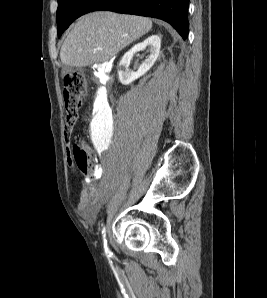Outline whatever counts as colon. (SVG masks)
I'll return each instance as SVG.
<instances>
[{
    "mask_svg": "<svg viewBox=\"0 0 267 298\" xmlns=\"http://www.w3.org/2000/svg\"><path fill=\"white\" fill-rule=\"evenodd\" d=\"M85 90L86 80L83 74L76 72L64 78L63 95L66 110L65 133L67 135L70 134L78 118ZM69 160L70 163L72 165L75 164L83 174L90 176L93 173V160L82 146L78 144L73 145Z\"/></svg>",
    "mask_w": 267,
    "mask_h": 298,
    "instance_id": "obj_1",
    "label": "colon"
}]
</instances>
